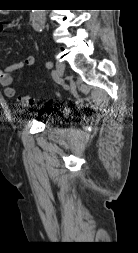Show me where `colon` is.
Masks as SVG:
<instances>
[{"label": "colon", "mask_w": 138, "mask_h": 253, "mask_svg": "<svg viewBox=\"0 0 138 253\" xmlns=\"http://www.w3.org/2000/svg\"><path fill=\"white\" fill-rule=\"evenodd\" d=\"M18 101L21 105L27 107L33 106L34 104V98L30 95H19Z\"/></svg>", "instance_id": "obj_1"}]
</instances>
